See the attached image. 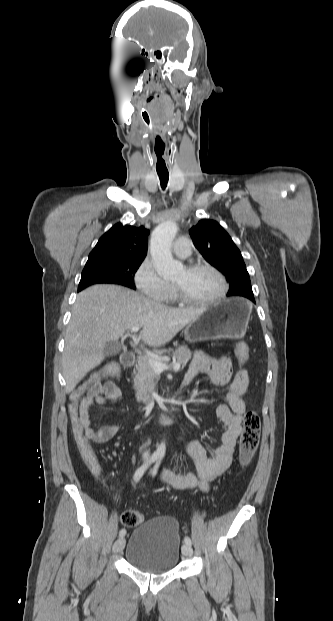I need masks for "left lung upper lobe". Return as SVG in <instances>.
<instances>
[{"label": "left lung upper lobe", "instance_id": "5c2ea615", "mask_svg": "<svg viewBox=\"0 0 333 621\" xmlns=\"http://www.w3.org/2000/svg\"><path fill=\"white\" fill-rule=\"evenodd\" d=\"M190 236L205 260L228 277L227 296L245 297L255 303L241 252L223 227L214 220L202 219L191 228Z\"/></svg>", "mask_w": 333, "mask_h": 621}]
</instances>
